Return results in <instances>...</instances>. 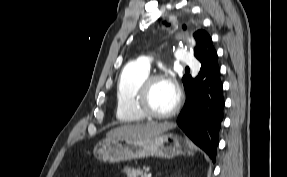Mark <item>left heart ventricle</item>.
Listing matches in <instances>:
<instances>
[{
  "label": "left heart ventricle",
  "mask_w": 287,
  "mask_h": 177,
  "mask_svg": "<svg viewBox=\"0 0 287 177\" xmlns=\"http://www.w3.org/2000/svg\"><path fill=\"white\" fill-rule=\"evenodd\" d=\"M176 101V90L167 80L156 82L150 92L149 106L157 112L163 113L170 110Z\"/></svg>",
  "instance_id": "1"
}]
</instances>
